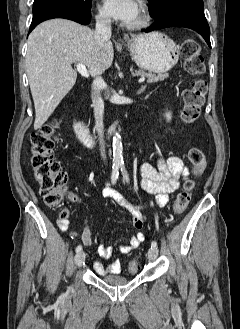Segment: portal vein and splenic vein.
<instances>
[{"mask_svg": "<svg viewBox=\"0 0 240 329\" xmlns=\"http://www.w3.org/2000/svg\"><path fill=\"white\" fill-rule=\"evenodd\" d=\"M76 68H77V71L85 78H88L89 77V73L86 69V66L81 64V63H78L76 64ZM145 80V77H142L138 80L139 83H142L143 81Z\"/></svg>", "mask_w": 240, "mask_h": 329, "instance_id": "portal-vein-and-splenic-vein-1", "label": "portal vein and splenic vein"}]
</instances>
